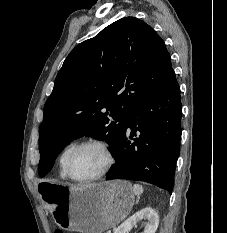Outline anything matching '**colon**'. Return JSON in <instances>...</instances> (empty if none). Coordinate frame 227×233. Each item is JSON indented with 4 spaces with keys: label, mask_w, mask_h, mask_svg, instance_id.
<instances>
[{
    "label": "colon",
    "mask_w": 227,
    "mask_h": 233,
    "mask_svg": "<svg viewBox=\"0 0 227 233\" xmlns=\"http://www.w3.org/2000/svg\"><path fill=\"white\" fill-rule=\"evenodd\" d=\"M55 233H64V232L61 230H57Z\"/></svg>",
    "instance_id": "colon-1"
}]
</instances>
